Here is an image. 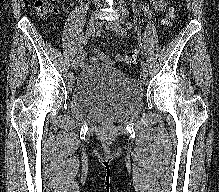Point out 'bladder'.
I'll return each instance as SVG.
<instances>
[{"instance_id": "bladder-1", "label": "bladder", "mask_w": 219, "mask_h": 192, "mask_svg": "<svg viewBox=\"0 0 219 192\" xmlns=\"http://www.w3.org/2000/svg\"><path fill=\"white\" fill-rule=\"evenodd\" d=\"M68 100L93 122H120L143 105L144 90L120 69L92 63L76 78Z\"/></svg>"}]
</instances>
